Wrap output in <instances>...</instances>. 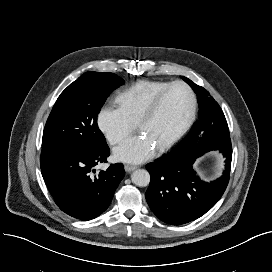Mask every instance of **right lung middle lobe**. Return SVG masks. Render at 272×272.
Segmentation results:
<instances>
[{
  "instance_id": "1",
  "label": "right lung middle lobe",
  "mask_w": 272,
  "mask_h": 272,
  "mask_svg": "<svg viewBox=\"0 0 272 272\" xmlns=\"http://www.w3.org/2000/svg\"><path fill=\"white\" fill-rule=\"evenodd\" d=\"M124 83L113 73L89 71L58 97L46 122L42 150H90L107 145L97 125V114L109 94Z\"/></svg>"
}]
</instances>
